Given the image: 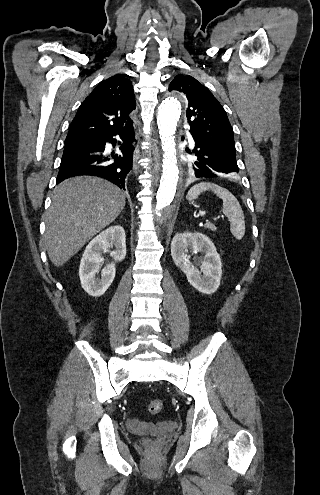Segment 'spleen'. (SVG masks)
<instances>
[{
  "mask_svg": "<svg viewBox=\"0 0 320 495\" xmlns=\"http://www.w3.org/2000/svg\"><path fill=\"white\" fill-rule=\"evenodd\" d=\"M204 191H212L222 199V212L230 221V231L236 239H242L245 234L244 213L236 197L230 191L219 185L210 182H202L194 185L188 191L186 198L189 201L195 200Z\"/></svg>",
  "mask_w": 320,
  "mask_h": 495,
  "instance_id": "obj_1",
  "label": "spleen"
}]
</instances>
